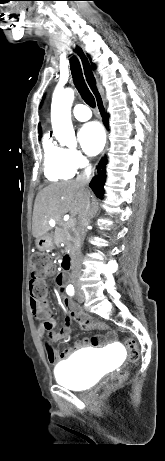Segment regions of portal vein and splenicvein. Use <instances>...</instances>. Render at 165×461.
<instances>
[{
	"label": "portal vein and splenic vein",
	"mask_w": 165,
	"mask_h": 461,
	"mask_svg": "<svg viewBox=\"0 0 165 461\" xmlns=\"http://www.w3.org/2000/svg\"><path fill=\"white\" fill-rule=\"evenodd\" d=\"M68 224L71 225V226L74 225V220H73V219H70V220L68 221Z\"/></svg>",
	"instance_id": "1"
}]
</instances>
